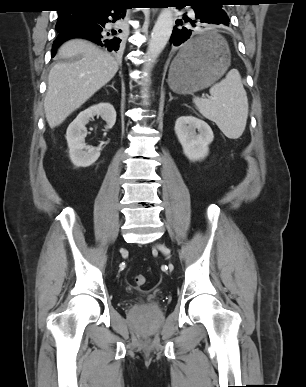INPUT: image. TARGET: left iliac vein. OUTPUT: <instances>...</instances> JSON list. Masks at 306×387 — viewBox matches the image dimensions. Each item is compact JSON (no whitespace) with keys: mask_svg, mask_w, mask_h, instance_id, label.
Segmentation results:
<instances>
[{"mask_svg":"<svg viewBox=\"0 0 306 387\" xmlns=\"http://www.w3.org/2000/svg\"><path fill=\"white\" fill-rule=\"evenodd\" d=\"M157 248L161 251V252H163L165 255H169V250L167 249V247L165 246V245H163V244H158L157 245Z\"/></svg>","mask_w":306,"mask_h":387,"instance_id":"left-iliac-vein-1","label":"left iliac vein"}]
</instances>
